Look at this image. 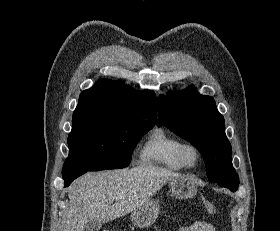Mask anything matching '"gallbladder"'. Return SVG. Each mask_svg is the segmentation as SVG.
<instances>
[{
  "instance_id": "gallbladder-1",
  "label": "gallbladder",
  "mask_w": 280,
  "mask_h": 231,
  "mask_svg": "<svg viewBox=\"0 0 280 231\" xmlns=\"http://www.w3.org/2000/svg\"><path fill=\"white\" fill-rule=\"evenodd\" d=\"M102 227V221H94V219H91V221H88L86 225H84L83 231H98Z\"/></svg>"
}]
</instances>
